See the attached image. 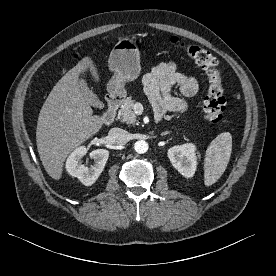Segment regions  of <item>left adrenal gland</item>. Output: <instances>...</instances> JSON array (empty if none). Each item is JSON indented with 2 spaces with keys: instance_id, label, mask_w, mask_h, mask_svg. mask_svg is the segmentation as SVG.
Listing matches in <instances>:
<instances>
[{
  "instance_id": "1",
  "label": "left adrenal gland",
  "mask_w": 276,
  "mask_h": 276,
  "mask_svg": "<svg viewBox=\"0 0 276 276\" xmlns=\"http://www.w3.org/2000/svg\"><path fill=\"white\" fill-rule=\"evenodd\" d=\"M167 134H170V132H163V133L161 134V136H164V135H167Z\"/></svg>"
}]
</instances>
